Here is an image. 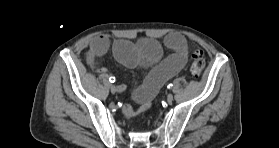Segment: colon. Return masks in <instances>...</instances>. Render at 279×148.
Returning a JSON list of instances; mask_svg holds the SVG:
<instances>
[{
    "label": "colon",
    "mask_w": 279,
    "mask_h": 148,
    "mask_svg": "<svg viewBox=\"0 0 279 148\" xmlns=\"http://www.w3.org/2000/svg\"><path fill=\"white\" fill-rule=\"evenodd\" d=\"M192 64H191V74L193 78H199L205 68V56L203 51L197 49L194 51L192 56Z\"/></svg>",
    "instance_id": "5ec220e1"
}]
</instances>
